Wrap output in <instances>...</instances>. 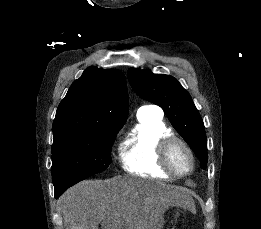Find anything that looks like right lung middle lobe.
<instances>
[{
  "label": "right lung middle lobe",
  "instance_id": "obj_1",
  "mask_svg": "<svg viewBox=\"0 0 261 229\" xmlns=\"http://www.w3.org/2000/svg\"><path fill=\"white\" fill-rule=\"evenodd\" d=\"M122 125L99 126L52 146V178L55 198L67 188L111 163V147Z\"/></svg>",
  "mask_w": 261,
  "mask_h": 229
}]
</instances>
